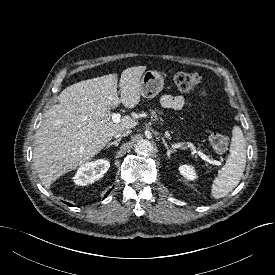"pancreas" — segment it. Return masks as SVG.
I'll return each mask as SVG.
<instances>
[{"label": "pancreas", "mask_w": 275, "mask_h": 275, "mask_svg": "<svg viewBox=\"0 0 275 275\" xmlns=\"http://www.w3.org/2000/svg\"><path fill=\"white\" fill-rule=\"evenodd\" d=\"M151 114H152L153 117L157 118V112H156V110H152Z\"/></svg>", "instance_id": "pancreas-1"}]
</instances>
